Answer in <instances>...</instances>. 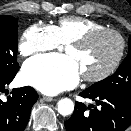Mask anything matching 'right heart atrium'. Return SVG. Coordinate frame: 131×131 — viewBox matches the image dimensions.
Segmentation results:
<instances>
[{
	"label": "right heart atrium",
	"mask_w": 131,
	"mask_h": 131,
	"mask_svg": "<svg viewBox=\"0 0 131 131\" xmlns=\"http://www.w3.org/2000/svg\"><path fill=\"white\" fill-rule=\"evenodd\" d=\"M60 45L53 26L34 23L23 32L18 50L22 56L55 49Z\"/></svg>",
	"instance_id": "1"
}]
</instances>
